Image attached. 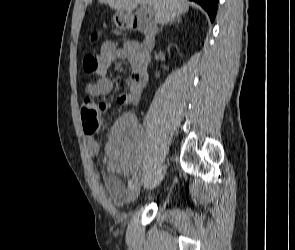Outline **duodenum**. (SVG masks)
Returning <instances> with one entry per match:
<instances>
[{"instance_id": "410a0bca", "label": "duodenum", "mask_w": 295, "mask_h": 250, "mask_svg": "<svg viewBox=\"0 0 295 250\" xmlns=\"http://www.w3.org/2000/svg\"><path fill=\"white\" fill-rule=\"evenodd\" d=\"M123 21L127 23V27L131 30H136L144 34L142 42V56L137 65L136 72L142 82H145L148 77L146 56L155 47L157 27L155 23L142 14L124 13Z\"/></svg>"}]
</instances>
